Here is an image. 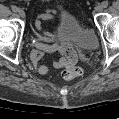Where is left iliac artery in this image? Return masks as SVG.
Masks as SVG:
<instances>
[{
    "label": "left iliac artery",
    "mask_w": 119,
    "mask_h": 119,
    "mask_svg": "<svg viewBox=\"0 0 119 119\" xmlns=\"http://www.w3.org/2000/svg\"><path fill=\"white\" fill-rule=\"evenodd\" d=\"M108 5H109L108 1H103V2H102V6H103L104 8H106Z\"/></svg>",
    "instance_id": "44dca946"
}]
</instances>
